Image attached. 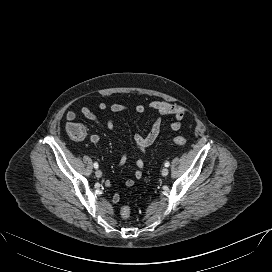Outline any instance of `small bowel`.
Returning a JSON list of instances; mask_svg holds the SVG:
<instances>
[{
  "label": "small bowel",
  "instance_id": "1",
  "mask_svg": "<svg viewBox=\"0 0 272 272\" xmlns=\"http://www.w3.org/2000/svg\"><path fill=\"white\" fill-rule=\"evenodd\" d=\"M148 108L158 114L156 119L154 120L150 131L147 135L142 136L139 134H136L133 138L134 143L137 147V149L145 154L147 149L154 144V142L157 140L161 129L163 127V119L164 116H172L176 119V121L169 123L168 127L172 131H178L181 129V120L187 115L188 110L178 104L170 103L166 101L161 100H153L149 103ZM98 109L101 111H107L110 110L113 113H122L129 110V107L127 105L121 104V103H113L111 105H108L104 102H100L98 104ZM146 110V107L142 104H138L134 107V111L138 114L144 113ZM82 116H84L86 119L96 123L97 125L104 127L110 131L115 130V124L114 121L110 118L106 119L105 121H101L97 115L91 111L88 107H81L79 109ZM66 120L68 122H72L76 119L77 115L74 111H68L65 115ZM100 141V137L97 134H92L90 136V142L93 144H97ZM127 162V155L123 153L120 157V160L118 162V166L122 167ZM136 164V170L134 172V176L136 179H140L143 174V167L144 162L141 158H137L135 161ZM134 179L129 178L125 180V186L132 187L134 185ZM120 200V195L118 193H115L112 197V202L117 203Z\"/></svg>",
  "mask_w": 272,
  "mask_h": 272
}]
</instances>
